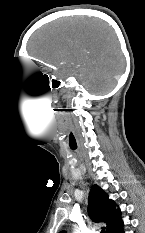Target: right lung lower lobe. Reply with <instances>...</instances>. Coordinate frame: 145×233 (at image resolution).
Masks as SVG:
<instances>
[{
    "label": "right lung lower lobe",
    "mask_w": 145,
    "mask_h": 233,
    "mask_svg": "<svg viewBox=\"0 0 145 233\" xmlns=\"http://www.w3.org/2000/svg\"><path fill=\"white\" fill-rule=\"evenodd\" d=\"M110 233H124L123 231V221L118 223L111 231Z\"/></svg>",
    "instance_id": "right-lung-lower-lobe-1"
}]
</instances>
